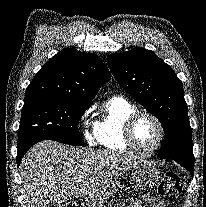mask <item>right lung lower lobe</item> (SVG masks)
<instances>
[{
  "mask_svg": "<svg viewBox=\"0 0 206 207\" xmlns=\"http://www.w3.org/2000/svg\"><path fill=\"white\" fill-rule=\"evenodd\" d=\"M27 152V150H23V151H18L17 152V157H16V160H17V165L19 166L24 154Z\"/></svg>",
  "mask_w": 206,
  "mask_h": 207,
  "instance_id": "right-lung-lower-lobe-1",
  "label": "right lung lower lobe"
}]
</instances>
